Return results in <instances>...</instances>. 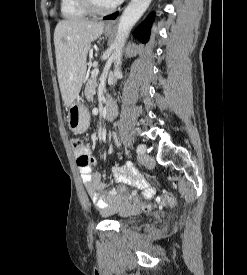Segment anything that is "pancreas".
Listing matches in <instances>:
<instances>
[{"instance_id": "obj_1", "label": "pancreas", "mask_w": 247, "mask_h": 275, "mask_svg": "<svg viewBox=\"0 0 247 275\" xmlns=\"http://www.w3.org/2000/svg\"><path fill=\"white\" fill-rule=\"evenodd\" d=\"M96 86H97L96 77L91 74L90 78L86 83V87L84 91L87 100H92L93 95L95 94Z\"/></svg>"}]
</instances>
